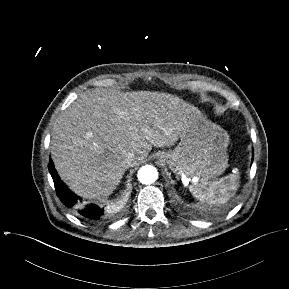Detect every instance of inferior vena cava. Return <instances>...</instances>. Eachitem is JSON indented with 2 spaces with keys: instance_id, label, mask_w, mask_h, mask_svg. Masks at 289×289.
Returning <instances> with one entry per match:
<instances>
[{
  "instance_id": "inferior-vena-cava-1",
  "label": "inferior vena cava",
  "mask_w": 289,
  "mask_h": 289,
  "mask_svg": "<svg viewBox=\"0 0 289 289\" xmlns=\"http://www.w3.org/2000/svg\"><path fill=\"white\" fill-rule=\"evenodd\" d=\"M124 163L127 168L135 166L137 164L136 156L133 153H127Z\"/></svg>"
}]
</instances>
